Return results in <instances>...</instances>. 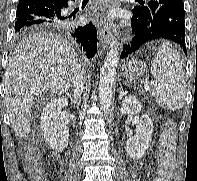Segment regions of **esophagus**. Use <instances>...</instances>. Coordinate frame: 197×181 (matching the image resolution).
<instances>
[{"mask_svg": "<svg viewBox=\"0 0 197 181\" xmlns=\"http://www.w3.org/2000/svg\"><path fill=\"white\" fill-rule=\"evenodd\" d=\"M109 1V0H106ZM99 35L102 46L104 49H107L111 45L113 40V34L111 28L106 23H101L99 25Z\"/></svg>", "mask_w": 197, "mask_h": 181, "instance_id": "obj_1", "label": "esophagus"}]
</instances>
